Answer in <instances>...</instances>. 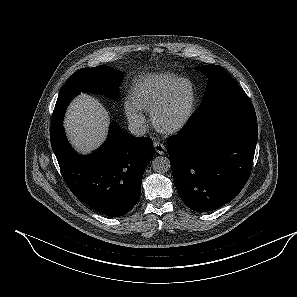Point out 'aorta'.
<instances>
[{
    "label": "aorta",
    "instance_id": "obj_1",
    "mask_svg": "<svg viewBox=\"0 0 297 297\" xmlns=\"http://www.w3.org/2000/svg\"><path fill=\"white\" fill-rule=\"evenodd\" d=\"M152 167L158 173H165L170 169L171 165L167 157L158 156L152 161Z\"/></svg>",
    "mask_w": 297,
    "mask_h": 297
}]
</instances>
